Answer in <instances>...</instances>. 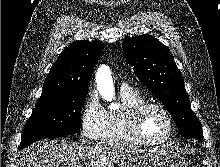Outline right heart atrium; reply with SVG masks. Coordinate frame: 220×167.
Instances as JSON below:
<instances>
[{"mask_svg":"<svg viewBox=\"0 0 220 167\" xmlns=\"http://www.w3.org/2000/svg\"><path fill=\"white\" fill-rule=\"evenodd\" d=\"M106 114L107 111L102 106L98 94L91 91L80 112L81 135L85 142L100 141L105 128Z\"/></svg>","mask_w":220,"mask_h":167,"instance_id":"1","label":"right heart atrium"}]
</instances>
